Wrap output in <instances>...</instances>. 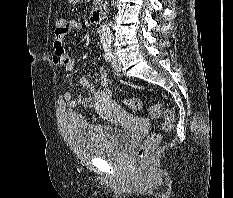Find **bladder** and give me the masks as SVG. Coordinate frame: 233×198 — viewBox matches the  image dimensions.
Listing matches in <instances>:
<instances>
[{
	"mask_svg": "<svg viewBox=\"0 0 233 198\" xmlns=\"http://www.w3.org/2000/svg\"><path fill=\"white\" fill-rule=\"evenodd\" d=\"M67 132L73 148L91 157H121L131 141L129 131L93 124L75 112L68 114Z\"/></svg>",
	"mask_w": 233,
	"mask_h": 198,
	"instance_id": "obj_1",
	"label": "bladder"
}]
</instances>
